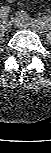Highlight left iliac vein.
Returning a JSON list of instances; mask_svg holds the SVG:
<instances>
[{"instance_id":"obj_1","label":"left iliac vein","mask_w":51,"mask_h":153,"mask_svg":"<svg viewBox=\"0 0 51 153\" xmlns=\"http://www.w3.org/2000/svg\"><path fill=\"white\" fill-rule=\"evenodd\" d=\"M21 16H22V14L20 12L12 18V22H13L14 26H16L18 28H30V29L35 30L40 33H42V31L46 30L45 28L41 27L40 25L30 23L28 20H25Z\"/></svg>"}]
</instances>
